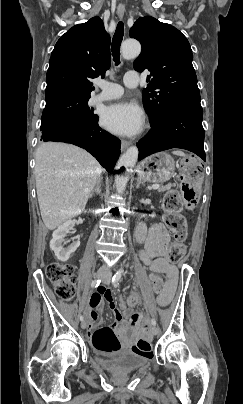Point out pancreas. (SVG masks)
Here are the masks:
<instances>
[{"label": "pancreas", "instance_id": "obj_1", "mask_svg": "<svg viewBox=\"0 0 243 404\" xmlns=\"http://www.w3.org/2000/svg\"><path fill=\"white\" fill-rule=\"evenodd\" d=\"M172 186L173 184H167V186H161V188H158V192H166V190H170Z\"/></svg>", "mask_w": 243, "mask_h": 404}]
</instances>
